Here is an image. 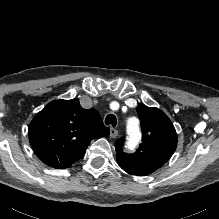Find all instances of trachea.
<instances>
[{
  "mask_svg": "<svg viewBox=\"0 0 219 219\" xmlns=\"http://www.w3.org/2000/svg\"><path fill=\"white\" fill-rule=\"evenodd\" d=\"M105 124L106 125L110 124L113 127H115L117 124V119H116L115 115H113V114L107 115V117L105 118Z\"/></svg>",
  "mask_w": 219,
  "mask_h": 219,
  "instance_id": "3493384b",
  "label": "trachea"
}]
</instances>
